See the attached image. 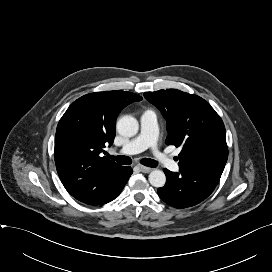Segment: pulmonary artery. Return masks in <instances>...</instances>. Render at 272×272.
I'll return each instance as SVG.
<instances>
[{
	"label": "pulmonary artery",
	"instance_id": "pulmonary-artery-1",
	"mask_svg": "<svg viewBox=\"0 0 272 272\" xmlns=\"http://www.w3.org/2000/svg\"><path fill=\"white\" fill-rule=\"evenodd\" d=\"M157 138L158 123L156 113L153 110H146L140 117L139 134L135 138L125 143L120 148V152L126 155H131L150 148L156 161L159 164L163 165L171 171H178V163L158 149Z\"/></svg>",
	"mask_w": 272,
	"mask_h": 272
}]
</instances>
